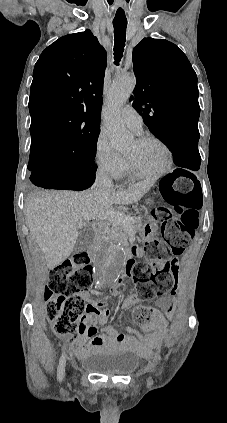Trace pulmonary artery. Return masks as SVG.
Here are the masks:
<instances>
[{"instance_id":"e3ab8cb5","label":"pulmonary artery","mask_w":227,"mask_h":423,"mask_svg":"<svg viewBox=\"0 0 227 423\" xmlns=\"http://www.w3.org/2000/svg\"><path fill=\"white\" fill-rule=\"evenodd\" d=\"M121 118L124 124L136 134H140L142 132V117L130 105H126L123 108Z\"/></svg>"}]
</instances>
